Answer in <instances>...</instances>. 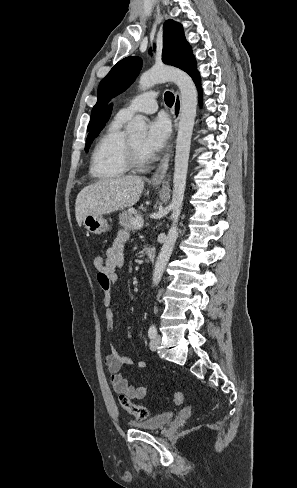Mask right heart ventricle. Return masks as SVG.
I'll return each instance as SVG.
<instances>
[{
	"instance_id": "1",
	"label": "right heart ventricle",
	"mask_w": 297,
	"mask_h": 488,
	"mask_svg": "<svg viewBox=\"0 0 297 488\" xmlns=\"http://www.w3.org/2000/svg\"><path fill=\"white\" fill-rule=\"evenodd\" d=\"M125 118L117 115L96 141L91 154L90 173L97 180H115L127 173V141L122 131Z\"/></svg>"
}]
</instances>
